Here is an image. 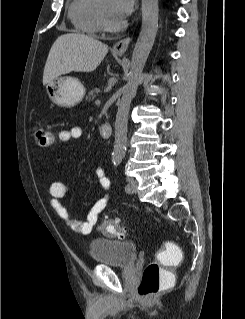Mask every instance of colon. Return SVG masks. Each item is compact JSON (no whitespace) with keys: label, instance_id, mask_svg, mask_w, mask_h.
<instances>
[{"label":"colon","instance_id":"colon-1","mask_svg":"<svg viewBox=\"0 0 245 319\" xmlns=\"http://www.w3.org/2000/svg\"><path fill=\"white\" fill-rule=\"evenodd\" d=\"M34 137L36 144L40 147L51 146L54 143V133L44 127L37 125L34 128ZM97 229L104 235L124 238L127 229L120 222L103 218L97 223ZM183 253L179 247L171 242H166L160 250L155 261L149 263L143 272V278L138 286L140 296L151 299L161 290L170 285L171 279L168 276L165 265H173L182 261Z\"/></svg>","mask_w":245,"mask_h":319}]
</instances>
